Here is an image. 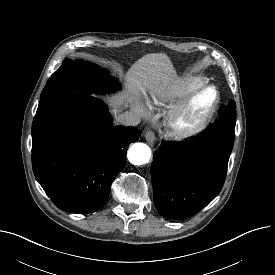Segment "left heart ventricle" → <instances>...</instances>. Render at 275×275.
Segmentation results:
<instances>
[{
	"mask_svg": "<svg viewBox=\"0 0 275 275\" xmlns=\"http://www.w3.org/2000/svg\"><path fill=\"white\" fill-rule=\"evenodd\" d=\"M213 100L214 93L212 91H207L197 96L179 124L181 126H188L200 119L209 109Z\"/></svg>",
	"mask_w": 275,
	"mask_h": 275,
	"instance_id": "obj_1",
	"label": "left heart ventricle"
}]
</instances>
